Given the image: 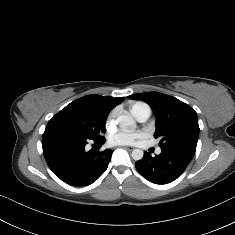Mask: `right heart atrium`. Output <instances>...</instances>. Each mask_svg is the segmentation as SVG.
<instances>
[{
	"label": "right heart atrium",
	"mask_w": 235,
	"mask_h": 235,
	"mask_svg": "<svg viewBox=\"0 0 235 235\" xmlns=\"http://www.w3.org/2000/svg\"><path fill=\"white\" fill-rule=\"evenodd\" d=\"M116 113H117L116 109H113V110L109 113V115H108V117H107V120H106V123H107V124H111V123L114 121L115 116H116Z\"/></svg>",
	"instance_id": "d8ad5b80"
}]
</instances>
